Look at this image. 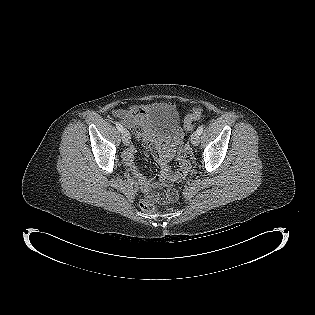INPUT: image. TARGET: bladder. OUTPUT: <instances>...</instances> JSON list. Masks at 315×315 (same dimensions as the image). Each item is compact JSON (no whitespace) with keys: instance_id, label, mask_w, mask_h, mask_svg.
<instances>
[{"instance_id":"31cf9c89","label":"bladder","mask_w":315,"mask_h":315,"mask_svg":"<svg viewBox=\"0 0 315 315\" xmlns=\"http://www.w3.org/2000/svg\"><path fill=\"white\" fill-rule=\"evenodd\" d=\"M145 129L164 138H175L179 134V115L164 107L153 108L147 113Z\"/></svg>"}]
</instances>
